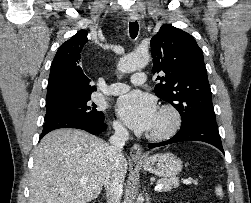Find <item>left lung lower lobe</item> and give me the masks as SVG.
<instances>
[{
    "label": "left lung lower lobe",
    "instance_id": "1",
    "mask_svg": "<svg viewBox=\"0 0 251 203\" xmlns=\"http://www.w3.org/2000/svg\"><path fill=\"white\" fill-rule=\"evenodd\" d=\"M184 141L206 142L217 147L224 153L217 125L204 122H196L185 128H181L179 132L169 140L160 143H151L149 144V148L152 149L155 147Z\"/></svg>",
    "mask_w": 251,
    "mask_h": 203
}]
</instances>
